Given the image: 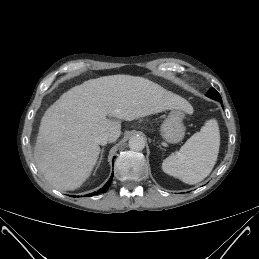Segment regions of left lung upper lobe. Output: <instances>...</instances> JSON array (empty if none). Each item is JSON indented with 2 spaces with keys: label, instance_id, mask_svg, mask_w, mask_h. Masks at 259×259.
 <instances>
[{
  "label": "left lung upper lobe",
  "instance_id": "obj_1",
  "mask_svg": "<svg viewBox=\"0 0 259 259\" xmlns=\"http://www.w3.org/2000/svg\"><path fill=\"white\" fill-rule=\"evenodd\" d=\"M206 95L217 101L222 100L220 94L214 88H211Z\"/></svg>",
  "mask_w": 259,
  "mask_h": 259
}]
</instances>
